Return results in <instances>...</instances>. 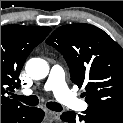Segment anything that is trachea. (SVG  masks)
<instances>
[{
	"label": "trachea",
	"mask_w": 123,
	"mask_h": 123,
	"mask_svg": "<svg viewBox=\"0 0 123 123\" xmlns=\"http://www.w3.org/2000/svg\"><path fill=\"white\" fill-rule=\"evenodd\" d=\"M13 97L29 106H36L39 102L38 97L34 95L32 96L13 95ZM46 106L47 108L53 111L59 112L63 110V107L59 103H56V102H47Z\"/></svg>",
	"instance_id": "obj_1"
}]
</instances>
